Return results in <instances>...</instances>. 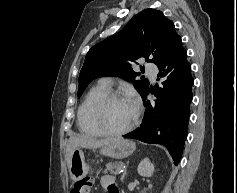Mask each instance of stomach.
Segmentation results:
<instances>
[{
    "mask_svg": "<svg viewBox=\"0 0 237 193\" xmlns=\"http://www.w3.org/2000/svg\"><path fill=\"white\" fill-rule=\"evenodd\" d=\"M135 150V143L124 138H115L110 143L100 148L102 155L122 159L131 155ZM70 175L74 181L80 180L88 174L89 165L86 163L84 153L81 148H75L71 152Z\"/></svg>",
    "mask_w": 237,
    "mask_h": 193,
    "instance_id": "stomach-1",
    "label": "stomach"
}]
</instances>
